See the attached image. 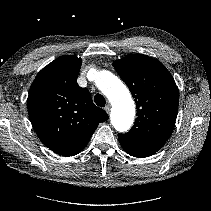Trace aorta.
I'll return each mask as SVG.
<instances>
[{
    "mask_svg": "<svg viewBox=\"0 0 211 211\" xmlns=\"http://www.w3.org/2000/svg\"><path fill=\"white\" fill-rule=\"evenodd\" d=\"M95 83L113 104L112 125L119 132L127 131L132 126L135 116V104L128 88L107 70L97 72Z\"/></svg>",
    "mask_w": 211,
    "mask_h": 211,
    "instance_id": "obj_1",
    "label": "aorta"
}]
</instances>
